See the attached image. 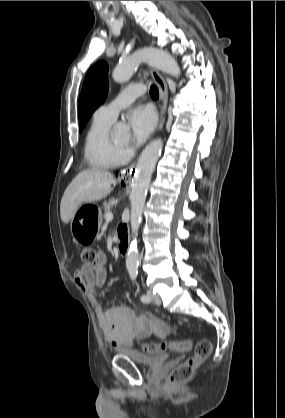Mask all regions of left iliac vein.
Masks as SVG:
<instances>
[{"mask_svg": "<svg viewBox=\"0 0 285 418\" xmlns=\"http://www.w3.org/2000/svg\"><path fill=\"white\" fill-rule=\"evenodd\" d=\"M147 296L150 298V300L152 301V302H154L155 304H157V305H160L161 304V299H160V297L157 295V294H155L152 290H148L147 291Z\"/></svg>", "mask_w": 285, "mask_h": 418, "instance_id": "4c4485c4", "label": "left iliac vein"}]
</instances>
